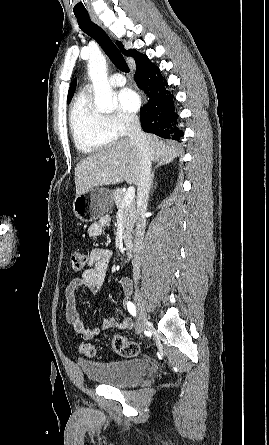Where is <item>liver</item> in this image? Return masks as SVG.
<instances>
[{
	"mask_svg": "<svg viewBox=\"0 0 269 445\" xmlns=\"http://www.w3.org/2000/svg\"><path fill=\"white\" fill-rule=\"evenodd\" d=\"M151 160L158 165L171 162L181 153L173 142L146 135ZM140 155L136 144L128 138L120 139L83 159L75 168L76 197L95 187L126 181L138 184Z\"/></svg>",
	"mask_w": 269,
	"mask_h": 445,
	"instance_id": "liver-1",
	"label": "liver"
}]
</instances>
